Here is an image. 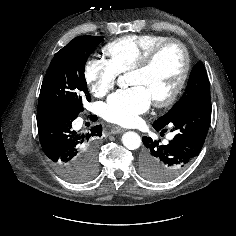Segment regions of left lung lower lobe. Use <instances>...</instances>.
<instances>
[{
    "instance_id": "obj_1",
    "label": "left lung lower lobe",
    "mask_w": 236,
    "mask_h": 236,
    "mask_svg": "<svg viewBox=\"0 0 236 236\" xmlns=\"http://www.w3.org/2000/svg\"><path fill=\"white\" fill-rule=\"evenodd\" d=\"M211 98L202 97L175 115L163 126L153 125L162 132L171 126L174 138L166 145L144 136L146 150L141 156L142 174L155 182H167L181 174L198 156L211 121Z\"/></svg>"
}]
</instances>
